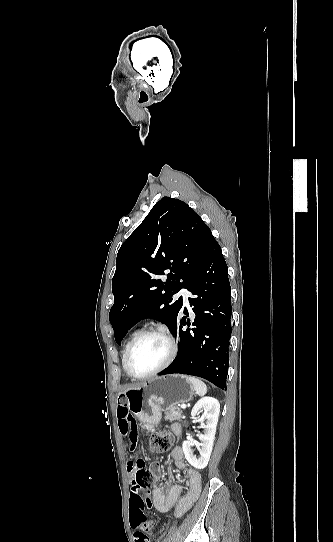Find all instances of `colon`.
Returning <instances> with one entry per match:
<instances>
[{
  "instance_id": "colon-1",
  "label": "colon",
  "mask_w": 333,
  "mask_h": 542,
  "mask_svg": "<svg viewBox=\"0 0 333 542\" xmlns=\"http://www.w3.org/2000/svg\"><path fill=\"white\" fill-rule=\"evenodd\" d=\"M174 436L171 433L165 431H157L152 434L150 439V449L153 453H162L172 448ZM133 467L130 468L129 478L136 480L137 483H129L127 491L129 494H133V501L135 505L129 507V514L131 516V523L134 525L146 524V532L152 530V525L149 523L150 508L152 502L148 498L144 501V494H147L149 487L157 484L156 474L145 468V462L142 460H133L130 462ZM139 542H149L147 536L140 533L137 537Z\"/></svg>"
}]
</instances>
